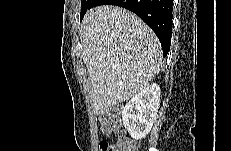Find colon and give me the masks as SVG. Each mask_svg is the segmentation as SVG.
<instances>
[{
    "instance_id": "5ec220e1",
    "label": "colon",
    "mask_w": 231,
    "mask_h": 151,
    "mask_svg": "<svg viewBox=\"0 0 231 151\" xmlns=\"http://www.w3.org/2000/svg\"><path fill=\"white\" fill-rule=\"evenodd\" d=\"M120 113L117 109H110L99 116V122L104 134L116 131L119 127ZM137 146L133 140L120 135L115 142H101L100 151H136Z\"/></svg>"
}]
</instances>
